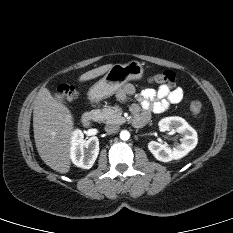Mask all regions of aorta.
I'll return each mask as SVG.
<instances>
[{"instance_id":"1","label":"aorta","mask_w":233,"mask_h":233,"mask_svg":"<svg viewBox=\"0 0 233 233\" xmlns=\"http://www.w3.org/2000/svg\"><path fill=\"white\" fill-rule=\"evenodd\" d=\"M129 138H130V133H129V131H127V130H122V131L120 132V139H121V140L126 141V140H128Z\"/></svg>"}]
</instances>
